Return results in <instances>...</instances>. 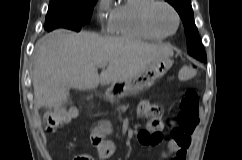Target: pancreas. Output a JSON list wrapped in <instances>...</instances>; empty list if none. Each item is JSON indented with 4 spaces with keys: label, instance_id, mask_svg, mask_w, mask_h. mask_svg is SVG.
Listing matches in <instances>:
<instances>
[{
    "label": "pancreas",
    "instance_id": "pancreas-1",
    "mask_svg": "<svg viewBox=\"0 0 242 160\" xmlns=\"http://www.w3.org/2000/svg\"><path fill=\"white\" fill-rule=\"evenodd\" d=\"M127 107H128V106H122V107H120V109H121L122 111H125V110L127 109Z\"/></svg>",
    "mask_w": 242,
    "mask_h": 160
}]
</instances>
